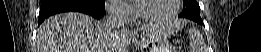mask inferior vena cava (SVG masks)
Returning a JSON list of instances; mask_svg holds the SVG:
<instances>
[{"instance_id":"602c4592","label":"inferior vena cava","mask_w":261,"mask_h":52,"mask_svg":"<svg viewBox=\"0 0 261 52\" xmlns=\"http://www.w3.org/2000/svg\"><path fill=\"white\" fill-rule=\"evenodd\" d=\"M125 8L119 1H113L106 5L104 29L107 35L113 36L124 25Z\"/></svg>"}]
</instances>
